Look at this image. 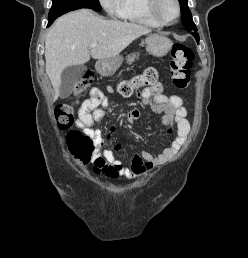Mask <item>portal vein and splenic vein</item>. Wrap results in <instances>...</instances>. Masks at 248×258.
Returning <instances> with one entry per match:
<instances>
[{
	"label": "portal vein and splenic vein",
	"instance_id": "obj_1",
	"mask_svg": "<svg viewBox=\"0 0 248 258\" xmlns=\"http://www.w3.org/2000/svg\"><path fill=\"white\" fill-rule=\"evenodd\" d=\"M89 46H90L91 48H95V47L98 46V44H97V43H91Z\"/></svg>",
	"mask_w": 248,
	"mask_h": 258
}]
</instances>
